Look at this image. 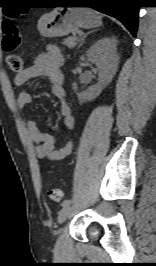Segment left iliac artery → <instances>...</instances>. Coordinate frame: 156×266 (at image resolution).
Here are the masks:
<instances>
[{"mask_svg":"<svg viewBox=\"0 0 156 266\" xmlns=\"http://www.w3.org/2000/svg\"><path fill=\"white\" fill-rule=\"evenodd\" d=\"M71 200L70 199H67V200H64L63 202H62V206L63 207H65V206H69L70 204H71Z\"/></svg>","mask_w":156,"mask_h":266,"instance_id":"44dca946","label":"left iliac artery"}]
</instances>
